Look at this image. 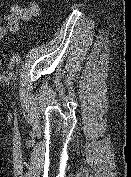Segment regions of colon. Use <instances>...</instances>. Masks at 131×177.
Here are the masks:
<instances>
[{
	"instance_id": "5ec220e1",
	"label": "colon",
	"mask_w": 131,
	"mask_h": 177,
	"mask_svg": "<svg viewBox=\"0 0 131 177\" xmlns=\"http://www.w3.org/2000/svg\"><path fill=\"white\" fill-rule=\"evenodd\" d=\"M2 65H3V59L2 57H0V68L2 67Z\"/></svg>"
}]
</instances>
